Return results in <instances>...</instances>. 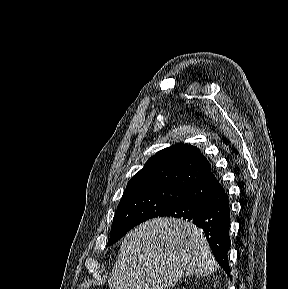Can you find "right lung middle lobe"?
Returning <instances> with one entry per match:
<instances>
[{
    "label": "right lung middle lobe",
    "instance_id": "right-lung-middle-lobe-1",
    "mask_svg": "<svg viewBox=\"0 0 288 289\" xmlns=\"http://www.w3.org/2000/svg\"><path fill=\"white\" fill-rule=\"evenodd\" d=\"M186 190L155 187L124 192L113 219L107 246L123 237L131 228L160 216L185 195Z\"/></svg>",
    "mask_w": 288,
    "mask_h": 289
}]
</instances>
